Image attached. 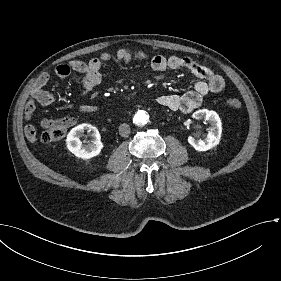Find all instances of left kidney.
Returning <instances> with one entry per match:
<instances>
[{
    "label": "left kidney",
    "mask_w": 281,
    "mask_h": 281,
    "mask_svg": "<svg viewBox=\"0 0 281 281\" xmlns=\"http://www.w3.org/2000/svg\"><path fill=\"white\" fill-rule=\"evenodd\" d=\"M192 117L196 120L204 119L211 125L205 139L196 140L192 136L188 137V142L197 151H207L219 144L222 133V123L219 115L215 111L200 109L193 113Z\"/></svg>",
    "instance_id": "left-kidney-1"
}]
</instances>
